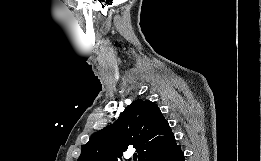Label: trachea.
Segmentation results:
<instances>
[{
    "instance_id": "3493384b",
    "label": "trachea",
    "mask_w": 261,
    "mask_h": 161,
    "mask_svg": "<svg viewBox=\"0 0 261 161\" xmlns=\"http://www.w3.org/2000/svg\"><path fill=\"white\" fill-rule=\"evenodd\" d=\"M133 160H134V161L137 160V155H136V154L133 156Z\"/></svg>"
}]
</instances>
